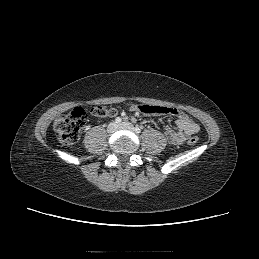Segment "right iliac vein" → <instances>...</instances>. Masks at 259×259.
Returning a JSON list of instances; mask_svg holds the SVG:
<instances>
[{
	"label": "right iliac vein",
	"mask_w": 259,
	"mask_h": 259,
	"mask_svg": "<svg viewBox=\"0 0 259 259\" xmlns=\"http://www.w3.org/2000/svg\"><path fill=\"white\" fill-rule=\"evenodd\" d=\"M117 129H118V125L116 123L112 122L108 125L107 131H108V133L111 134V133H114Z\"/></svg>",
	"instance_id": "63e3f726"
}]
</instances>
